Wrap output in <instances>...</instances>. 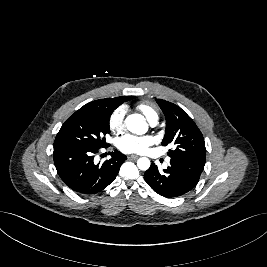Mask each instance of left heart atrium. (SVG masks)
<instances>
[{
  "mask_svg": "<svg viewBox=\"0 0 267 267\" xmlns=\"http://www.w3.org/2000/svg\"><path fill=\"white\" fill-rule=\"evenodd\" d=\"M153 143L154 139L151 136L126 134L118 139L117 146L124 153L141 154L146 152Z\"/></svg>",
  "mask_w": 267,
  "mask_h": 267,
  "instance_id": "1",
  "label": "left heart atrium"
}]
</instances>
